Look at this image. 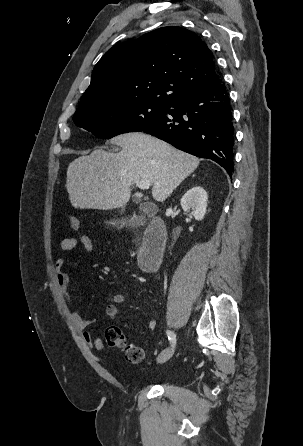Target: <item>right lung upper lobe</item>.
<instances>
[{
    "mask_svg": "<svg viewBox=\"0 0 303 446\" xmlns=\"http://www.w3.org/2000/svg\"><path fill=\"white\" fill-rule=\"evenodd\" d=\"M220 80L214 57L198 35L162 27L108 50L95 65L76 113L131 101L172 106Z\"/></svg>",
    "mask_w": 303,
    "mask_h": 446,
    "instance_id": "cb5924a9",
    "label": "right lung upper lobe"
}]
</instances>
